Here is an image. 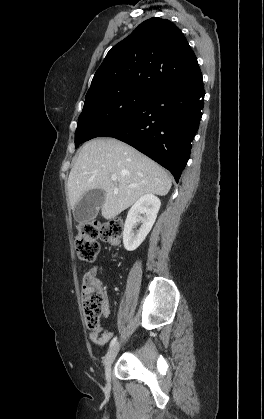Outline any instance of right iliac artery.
<instances>
[{
	"label": "right iliac artery",
	"instance_id": "obj_1",
	"mask_svg": "<svg viewBox=\"0 0 264 419\" xmlns=\"http://www.w3.org/2000/svg\"><path fill=\"white\" fill-rule=\"evenodd\" d=\"M116 342H117V337H114V338L111 340L109 347H110V348H111V347H113V346L116 344Z\"/></svg>",
	"mask_w": 264,
	"mask_h": 419
}]
</instances>
